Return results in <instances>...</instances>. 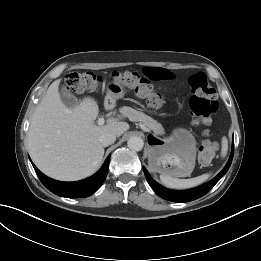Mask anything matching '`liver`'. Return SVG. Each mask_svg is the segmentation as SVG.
Segmentation results:
<instances>
[{
    "mask_svg": "<svg viewBox=\"0 0 261 261\" xmlns=\"http://www.w3.org/2000/svg\"><path fill=\"white\" fill-rule=\"evenodd\" d=\"M55 80L36 108L29 127L28 150L35 165L47 176L76 181L94 174L102 161L101 135L112 132L120 137L129 128L127 122L97 126V102L85 97L73 109L60 98Z\"/></svg>",
    "mask_w": 261,
    "mask_h": 261,
    "instance_id": "obj_1",
    "label": "liver"
}]
</instances>
